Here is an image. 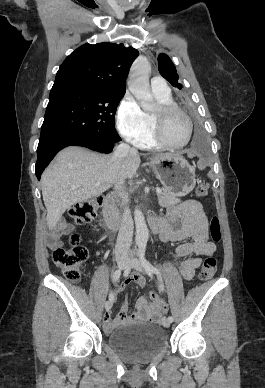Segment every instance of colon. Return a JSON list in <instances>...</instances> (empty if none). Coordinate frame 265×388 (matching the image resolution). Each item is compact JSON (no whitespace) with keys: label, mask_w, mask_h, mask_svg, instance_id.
<instances>
[{"label":"colon","mask_w":265,"mask_h":388,"mask_svg":"<svg viewBox=\"0 0 265 388\" xmlns=\"http://www.w3.org/2000/svg\"><path fill=\"white\" fill-rule=\"evenodd\" d=\"M208 192V185L206 183H199L196 188L198 196H205ZM102 204L100 197L84 200L73 205L69 210V215L78 224L88 223L93 220ZM210 234L213 241L218 242L221 239V225L219 218L214 216L210 221ZM80 238L78 235L73 234L70 237L71 248H56L53 252V260L57 267H59L66 278L71 281L77 282L81 279L82 268L85 260L87 259V250L85 247L79 244ZM217 269V260L213 256L205 258L199 276L201 280H210ZM152 303L157 304L161 311L166 313L168 308L166 303L158 296L154 291H150L147 294Z\"/></svg>","instance_id":"5ec220e1"}]
</instances>
